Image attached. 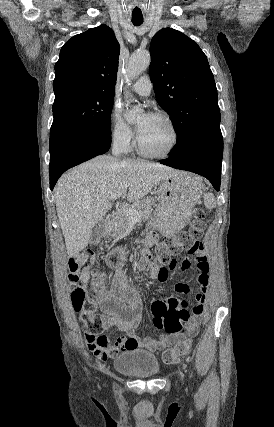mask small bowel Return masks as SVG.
<instances>
[{"mask_svg":"<svg viewBox=\"0 0 274 427\" xmlns=\"http://www.w3.org/2000/svg\"><path fill=\"white\" fill-rule=\"evenodd\" d=\"M154 242L155 233H152L144 245L151 247ZM194 249L190 248L187 254L193 257L196 251L198 252L194 257L197 266L193 267L194 271H198V277L196 279L192 275L188 280L192 284L197 280L199 290L195 294V303L191 309V321L184 333L182 328L187 325L188 312L168 311V309L188 310L190 304L188 301H182L179 293H174L175 287L171 285L167 289L170 293L169 299H152L149 315L152 320V326L157 327L158 332H169V335L161 334L157 338L150 336L139 338L136 335V329L143 319L142 300L140 295L128 284V270L122 267V262L124 261L123 248H115L108 255L107 262L109 266L116 269L109 288L105 286L106 276L104 272H93L90 267H85L80 271L81 288L86 297L92 298L99 308L104 328H114L125 332V336L117 338L112 344H109L107 338L103 335L93 338L86 335L87 346L96 359L101 361L115 359L120 352H154L159 350L161 345H171L177 338H187L189 334L191 335L190 337L197 334L199 323L204 313L209 266L204 264L207 262V257L203 252L204 247L198 244ZM190 263V259L186 258L178 263V267L181 270H186ZM134 267L139 271L147 272L153 280L165 281L164 278H175L178 275L176 264H169L159 272V269L152 266L145 258H141L136 262ZM175 285L179 292L189 291L188 282L179 280ZM165 320H167V323Z\"/></svg>","mask_w":274,"mask_h":427,"instance_id":"c3829d8e","label":"small bowel"}]
</instances>
